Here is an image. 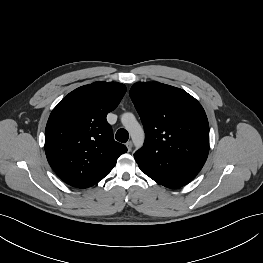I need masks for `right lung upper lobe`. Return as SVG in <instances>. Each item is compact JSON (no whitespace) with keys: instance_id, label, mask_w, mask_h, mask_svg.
<instances>
[{"instance_id":"cb5924a9","label":"right lung upper lobe","mask_w":263,"mask_h":263,"mask_svg":"<svg viewBox=\"0 0 263 263\" xmlns=\"http://www.w3.org/2000/svg\"><path fill=\"white\" fill-rule=\"evenodd\" d=\"M126 92L117 82H94L70 92L53 109L45 130V153L55 173L67 184L93 186L127 152L114 140L106 121Z\"/></svg>"}]
</instances>
